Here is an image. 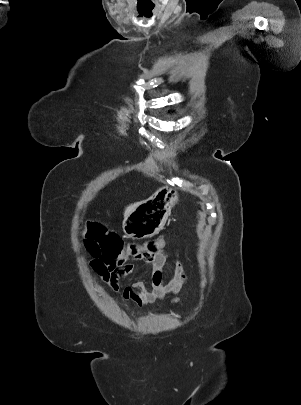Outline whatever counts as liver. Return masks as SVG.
Returning a JSON list of instances; mask_svg holds the SVG:
<instances>
[{
    "label": "liver",
    "instance_id": "6515ba94",
    "mask_svg": "<svg viewBox=\"0 0 301 405\" xmlns=\"http://www.w3.org/2000/svg\"><path fill=\"white\" fill-rule=\"evenodd\" d=\"M139 202L129 205L124 212V217L126 218L132 211H134L137 206H139Z\"/></svg>",
    "mask_w": 301,
    "mask_h": 405
}]
</instances>
